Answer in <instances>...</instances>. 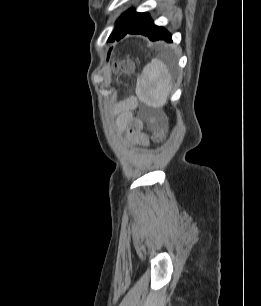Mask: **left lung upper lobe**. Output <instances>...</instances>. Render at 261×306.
Returning a JSON list of instances; mask_svg holds the SVG:
<instances>
[{
	"instance_id": "5c2ea615",
	"label": "left lung upper lobe",
	"mask_w": 261,
	"mask_h": 306,
	"mask_svg": "<svg viewBox=\"0 0 261 306\" xmlns=\"http://www.w3.org/2000/svg\"><path fill=\"white\" fill-rule=\"evenodd\" d=\"M137 15V12L130 9L127 12H125L121 17L120 20L116 24V28L114 32L110 35L108 41L113 42L115 40H118L121 33L129 26V24L132 22V20Z\"/></svg>"
}]
</instances>
